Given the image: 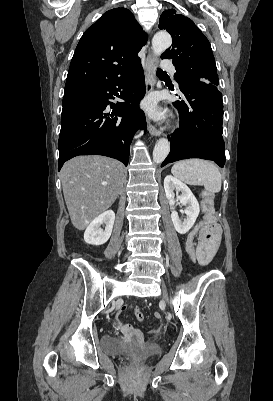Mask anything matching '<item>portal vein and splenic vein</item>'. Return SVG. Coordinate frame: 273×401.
Listing matches in <instances>:
<instances>
[{"mask_svg":"<svg viewBox=\"0 0 273 401\" xmlns=\"http://www.w3.org/2000/svg\"><path fill=\"white\" fill-rule=\"evenodd\" d=\"M102 184H107V182H102Z\"/></svg>","mask_w":273,"mask_h":401,"instance_id":"portal-vein-and-splenic-vein-1","label":"portal vein and splenic vein"}]
</instances>
